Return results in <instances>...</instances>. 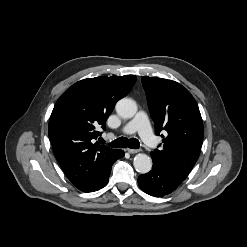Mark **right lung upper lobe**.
Returning a JSON list of instances; mask_svg holds the SVG:
<instances>
[{
    "instance_id": "obj_1",
    "label": "right lung upper lobe",
    "mask_w": 247,
    "mask_h": 247,
    "mask_svg": "<svg viewBox=\"0 0 247 247\" xmlns=\"http://www.w3.org/2000/svg\"><path fill=\"white\" fill-rule=\"evenodd\" d=\"M136 76L88 78L69 87L57 100L49 120L54 154L71 183L83 192L107 175L118 149L92 143L105 129L116 102L127 95Z\"/></svg>"
}]
</instances>
